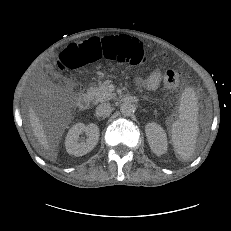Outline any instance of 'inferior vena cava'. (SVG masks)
<instances>
[{
    "mask_svg": "<svg viewBox=\"0 0 231 231\" xmlns=\"http://www.w3.org/2000/svg\"><path fill=\"white\" fill-rule=\"evenodd\" d=\"M111 105L110 103H102L97 106L96 108V114L98 116L106 115L110 112Z\"/></svg>",
    "mask_w": 231,
    "mask_h": 231,
    "instance_id": "inferior-vena-cava-1",
    "label": "inferior vena cava"
}]
</instances>
